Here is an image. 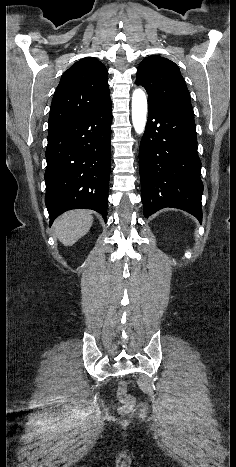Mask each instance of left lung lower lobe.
Wrapping results in <instances>:
<instances>
[{
    "label": "left lung lower lobe",
    "mask_w": 236,
    "mask_h": 467,
    "mask_svg": "<svg viewBox=\"0 0 236 467\" xmlns=\"http://www.w3.org/2000/svg\"><path fill=\"white\" fill-rule=\"evenodd\" d=\"M139 150L144 216L178 208L202 221L201 161L192 108L149 104Z\"/></svg>",
    "instance_id": "0a47b994"
}]
</instances>
